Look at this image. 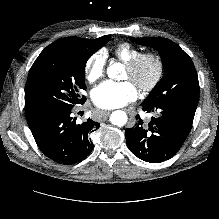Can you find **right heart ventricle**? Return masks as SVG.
Wrapping results in <instances>:
<instances>
[{
	"instance_id": "right-heart-ventricle-1",
	"label": "right heart ventricle",
	"mask_w": 219,
	"mask_h": 219,
	"mask_svg": "<svg viewBox=\"0 0 219 219\" xmlns=\"http://www.w3.org/2000/svg\"><path fill=\"white\" fill-rule=\"evenodd\" d=\"M140 53H142L140 48H137L127 42L120 43L114 49V56L124 64L134 59Z\"/></svg>"
}]
</instances>
